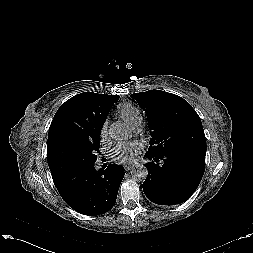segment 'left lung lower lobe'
I'll list each match as a JSON object with an SVG mask.
<instances>
[{
  "label": "left lung lower lobe",
  "instance_id": "1",
  "mask_svg": "<svg viewBox=\"0 0 253 253\" xmlns=\"http://www.w3.org/2000/svg\"><path fill=\"white\" fill-rule=\"evenodd\" d=\"M206 151L193 148L161 155L146 152L148 175L142 187L146 197L158 205H176L188 200L205 171Z\"/></svg>",
  "mask_w": 253,
  "mask_h": 253
}]
</instances>
